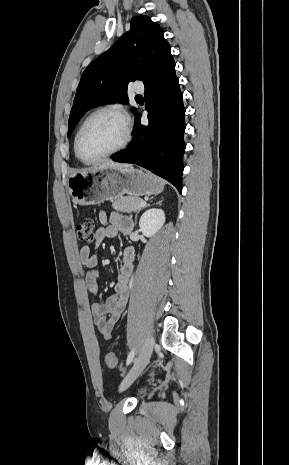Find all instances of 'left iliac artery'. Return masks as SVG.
<instances>
[{"instance_id": "left-iliac-artery-1", "label": "left iliac artery", "mask_w": 289, "mask_h": 465, "mask_svg": "<svg viewBox=\"0 0 289 465\" xmlns=\"http://www.w3.org/2000/svg\"><path fill=\"white\" fill-rule=\"evenodd\" d=\"M134 355H135V349H132V351L129 353L127 357V361H126L127 365H129L132 362Z\"/></svg>"}]
</instances>
